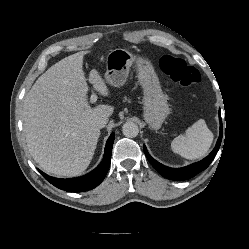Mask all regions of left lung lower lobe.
Masks as SVG:
<instances>
[{"instance_id":"left-lung-lower-lobe-1","label":"left lung lower lobe","mask_w":249,"mask_h":249,"mask_svg":"<svg viewBox=\"0 0 249 249\" xmlns=\"http://www.w3.org/2000/svg\"><path fill=\"white\" fill-rule=\"evenodd\" d=\"M219 120H220V135H219L218 141L216 143L215 148L212 150V152L203 160L196 162V163H193V164L186 166V167H183V168H170V167L162 165L161 163H159L155 159H153L149 155V153L144 145L143 149H144V152H145L147 159L162 176H164L168 179L181 181V180H186V179L192 178L193 176H195L199 172L203 171L204 169H206L210 165V163L213 161V159L215 158V156L220 148L221 141H222V120H221L220 112H219Z\"/></svg>"}]
</instances>
